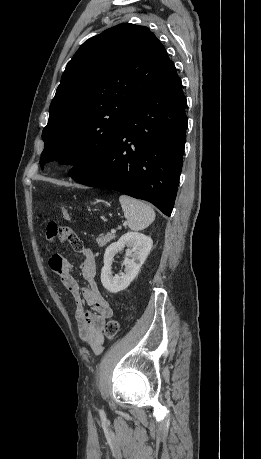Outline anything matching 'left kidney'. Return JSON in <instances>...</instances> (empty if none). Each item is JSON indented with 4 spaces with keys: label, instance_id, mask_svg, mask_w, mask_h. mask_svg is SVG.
I'll list each match as a JSON object with an SVG mask.
<instances>
[{
    "label": "left kidney",
    "instance_id": "obj_1",
    "mask_svg": "<svg viewBox=\"0 0 261 459\" xmlns=\"http://www.w3.org/2000/svg\"><path fill=\"white\" fill-rule=\"evenodd\" d=\"M151 237L138 232H127L120 239L107 247L104 253V266L101 270V282L105 289L111 293H118L126 289L138 275L142 264L152 248ZM127 246L126 256L123 261L124 273L113 276L111 266L114 256Z\"/></svg>",
    "mask_w": 261,
    "mask_h": 459
}]
</instances>
